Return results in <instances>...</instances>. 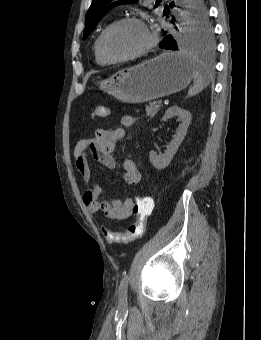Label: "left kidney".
Instances as JSON below:
<instances>
[{"label": "left kidney", "instance_id": "left-kidney-1", "mask_svg": "<svg viewBox=\"0 0 261 340\" xmlns=\"http://www.w3.org/2000/svg\"><path fill=\"white\" fill-rule=\"evenodd\" d=\"M172 117H177L178 120L181 121V125L178 127L176 134L173 136L172 141L167 146V150L162 155H157L156 152L154 151H150L149 153V160L151 164L158 170L164 169L170 164L180 144L184 140L187 129L191 122L190 112L181 109L176 105L167 109L162 118V121H166L167 119H170Z\"/></svg>", "mask_w": 261, "mask_h": 340}]
</instances>
